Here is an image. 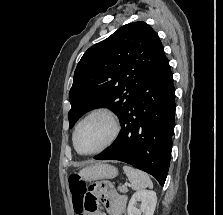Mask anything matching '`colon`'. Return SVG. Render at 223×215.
<instances>
[{"label":"colon","mask_w":223,"mask_h":215,"mask_svg":"<svg viewBox=\"0 0 223 215\" xmlns=\"http://www.w3.org/2000/svg\"><path fill=\"white\" fill-rule=\"evenodd\" d=\"M69 187L76 215H87L94 210L93 205L85 202V183L78 174H73L69 177Z\"/></svg>","instance_id":"1"}]
</instances>
